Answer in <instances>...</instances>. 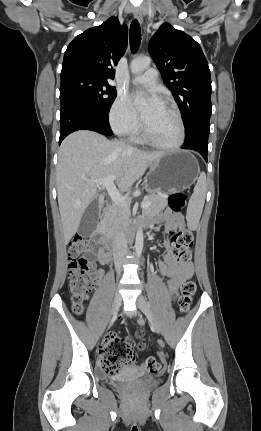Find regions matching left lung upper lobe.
Wrapping results in <instances>:
<instances>
[{
    "mask_svg": "<svg viewBox=\"0 0 261 431\" xmlns=\"http://www.w3.org/2000/svg\"><path fill=\"white\" fill-rule=\"evenodd\" d=\"M148 51L183 116L186 134L209 122L211 76L200 45L183 31L163 23L151 38Z\"/></svg>",
    "mask_w": 261,
    "mask_h": 431,
    "instance_id": "obj_1",
    "label": "left lung upper lobe"
}]
</instances>
